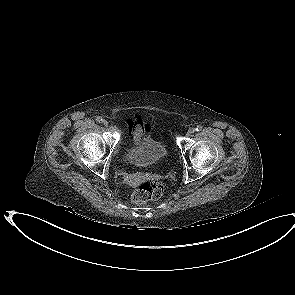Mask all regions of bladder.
<instances>
[{
  "mask_svg": "<svg viewBox=\"0 0 295 295\" xmlns=\"http://www.w3.org/2000/svg\"><path fill=\"white\" fill-rule=\"evenodd\" d=\"M167 156L166 145L152 137H147L139 146L128 150L124 160L137 166L155 164Z\"/></svg>",
  "mask_w": 295,
  "mask_h": 295,
  "instance_id": "bladder-1",
  "label": "bladder"
}]
</instances>
